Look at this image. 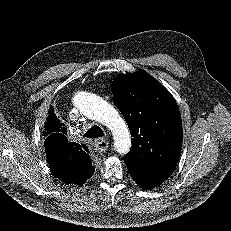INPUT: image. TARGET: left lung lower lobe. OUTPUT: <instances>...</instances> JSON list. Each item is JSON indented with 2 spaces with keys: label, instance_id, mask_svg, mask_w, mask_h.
Returning <instances> with one entry per match:
<instances>
[{
  "label": "left lung lower lobe",
  "instance_id": "obj_1",
  "mask_svg": "<svg viewBox=\"0 0 231 231\" xmlns=\"http://www.w3.org/2000/svg\"><path fill=\"white\" fill-rule=\"evenodd\" d=\"M127 165V164H126ZM134 181L143 189H152L171 176L174 169L140 168L127 165Z\"/></svg>",
  "mask_w": 231,
  "mask_h": 231
}]
</instances>
